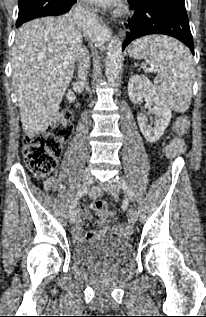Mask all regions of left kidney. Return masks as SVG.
Wrapping results in <instances>:
<instances>
[{"mask_svg": "<svg viewBox=\"0 0 206 317\" xmlns=\"http://www.w3.org/2000/svg\"><path fill=\"white\" fill-rule=\"evenodd\" d=\"M128 94L133 103H138L144 97L153 106L150 111L156 115L154 126L148 124L144 114H139L137 120L145 139L151 143L158 141L169 125L171 109L159 96L151 81L143 75H133L129 79Z\"/></svg>", "mask_w": 206, "mask_h": 317, "instance_id": "1", "label": "left kidney"}]
</instances>
